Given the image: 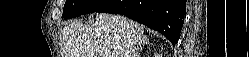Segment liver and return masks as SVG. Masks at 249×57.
<instances>
[{
	"label": "liver",
	"mask_w": 249,
	"mask_h": 57,
	"mask_svg": "<svg viewBox=\"0 0 249 57\" xmlns=\"http://www.w3.org/2000/svg\"><path fill=\"white\" fill-rule=\"evenodd\" d=\"M95 19L93 25L74 21L63 29L62 57H138L146 37L142 25L115 14L98 13Z\"/></svg>",
	"instance_id": "6515ba94"
}]
</instances>
